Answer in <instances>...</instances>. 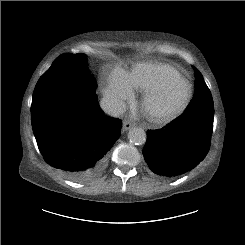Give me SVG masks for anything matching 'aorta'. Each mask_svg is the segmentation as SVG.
Masks as SVG:
<instances>
[{
  "instance_id": "1",
  "label": "aorta",
  "mask_w": 245,
  "mask_h": 245,
  "mask_svg": "<svg viewBox=\"0 0 245 245\" xmlns=\"http://www.w3.org/2000/svg\"><path fill=\"white\" fill-rule=\"evenodd\" d=\"M128 138L131 143L142 145L146 142L147 136L143 129L137 127L129 130Z\"/></svg>"
}]
</instances>
